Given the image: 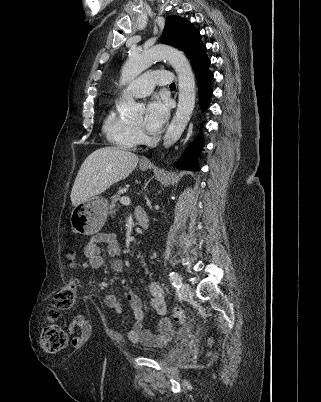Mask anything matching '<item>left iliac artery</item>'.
Here are the masks:
<instances>
[{
    "label": "left iliac artery",
    "mask_w": 321,
    "mask_h": 402,
    "mask_svg": "<svg viewBox=\"0 0 321 402\" xmlns=\"http://www.w3.org/2000/svg\"><path fill=\"white\" fill-rule=\"evenodd\" d=\"M170 280H171L172 285L175 288H177V289L181 288L182 278L177 272H171L170 273Z\"/></svg>",
    "instance_id": "obj_1"
}]
</instances>
